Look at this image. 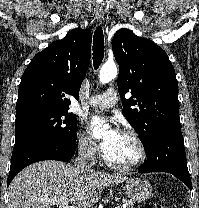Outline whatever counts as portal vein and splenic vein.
Wrapping results in <instances>:
<instances>
[{"label":"portal vein and splenic vein","instance_id":"obj_1","mask_svg":"<svg viewBox=\"0 0 199 208\" xmlns=\"http://www.w3.org/2000/svg\"><path fill=\"white\" fill-rule=\"evenodd\" d=\"M59 208H75L74 206L68 205V204H64V203H58ZM123 207H126L125 205ZM115 208H122V206H117Z\"/></svg>","mask_w":199,"mask_h":208}]
</instances>
